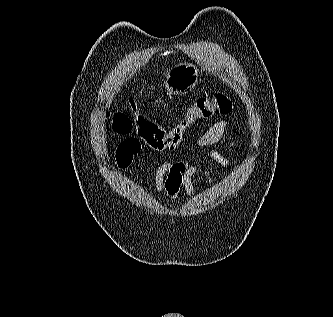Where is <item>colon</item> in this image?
<instances>
[{
	"label": "colon",
	"instance_id": "5ec220e1",
	"mask_svg": "<svg viewBox=\"0 0 333 317\" xmlns=\"http://www.w3.org/2000/svg\"><path fill=\"white\" fill-rule=\"evenodd\" d=\"M232 107L231 99L225 94L199 96L187 108L185 116L174 127L165 129L145 115L135 103H132L130 109L133 118L123 113H115L111 116L112 128L118 134L128 135L135 124L139 137L148 146L158 152H168L177 149L182 144L184 134L189 127L201 120L227 115L231 113Z\"/></svg>",
	"mask_w": 333,
	"mask_h": 317
}]
</instances>
